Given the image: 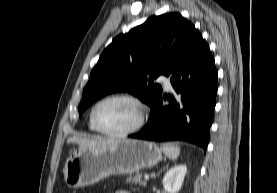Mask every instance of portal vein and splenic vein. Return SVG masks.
<instances>
[{
    "instance_id": "portal-vein-and-splenic-vein-1",
    "label": "portal vein and splenic vein",
    "mask_w": 277,
    "mask_h": 193,
    "mask_svg": "<svg viewBox=\"0 0 277 193\" xmlns=\"http://www.w3.org/2000/svg\"><path fill=\"white\" fill-rule=\"evenodd\" d=\"M144 179H145V180H148V179H149V175H145V176H144Z\"/></svg>"
}]
</instances>
